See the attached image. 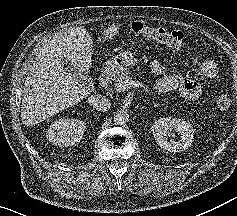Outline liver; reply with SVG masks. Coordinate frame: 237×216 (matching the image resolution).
I'll return each mask as SVG.
<instances>
[{
	"label": "liver",
	"instance_id": "6515ba94",
	"mask_svg": "<svg viewBox=\"0 0 237 216\" xmlns=\"http://www.w3.org/2000/svg\"><path fill=\"white\" fill-rule=\"evenodd\" d=\"M92 47V38L83 26L70 27L45 42L40 61L31 68L24 83L25 124L40 123L91 94L93 88L81 79L83 73L90 71Z\"/></svg>",
	"mask_w": 237,
	"mask_h": 216
}]
</instances>
